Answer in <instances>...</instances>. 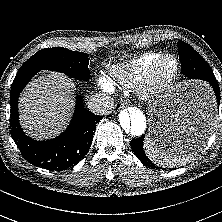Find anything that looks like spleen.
I'll list each match as a JSON object with an SVG mask.
<instances>
[{"instance_id": "3e777b00", "label": "spleen", "mask_w": 222, "mask_h": 222, "mask_svg": "<svg viewBox=\"0 0 222 222\" xmlns=\"http://www.w3.org/2000/svg\"><path fill=\"white\" fill-rule=\"evenodd\" d=\"M144 149L152 162L169 168L185 165L196 155L197 152L184 150L177 151L175 148H165L154 142L149 137H146L144 140Z\"/></svg>"}]
</instances>
